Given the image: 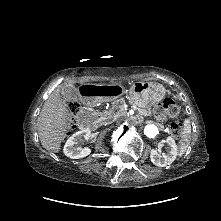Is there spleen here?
<instances>
[{"label": "spleen", "mask_w": 221, "mask_h": 221, "mask_svg": "<svg viewBox=\"0 0 221 221\" xmlns=\"http://www.w3.org/2000/svg\"><path fill=\"white\" fill-rule=\"evenodd\" d=\"M190 133H191V128H190L189 125H187L184 128L183 137H182V139L180 141V143H181V151L182 152L186 151L187 147L190 144V139H191Z\"/></svg>", "instance_id": "obj_1"}]
</instances>
